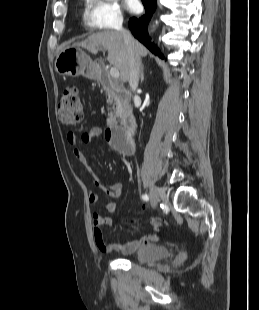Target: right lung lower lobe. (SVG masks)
<instances>
[{
  "instance_id": "obj_1",
  "label": "right lung lower lobe",
  "mask_w": 259,
  "mask_h": 310,
  "mask_svg": "<svg viewBox=\"0 0 259 310\" xmlns=\"http://www.w3.org/2000/svg\"><path fill=\"white\" fill-rule=\"evenodd\" d=\"M146 13L140 18H131L129 28L133 35L143 43L152 53L160 56V51L150 42L147 26L156 9V0H142Z\"/></svg>"
}]
</instances>
